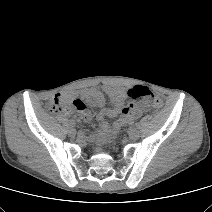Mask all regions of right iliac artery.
I'll return each mask as SVG.
<instances>
[{"instance_id": "1", "label": "right iliac artery", "mask_w": 212, "mask_h": 212, "mask_svg": "<svg viewBox=\"0 0 212 212\" xmlns=\"http://www.w3.org/2000/svg\"><path fill=\"white\" fill-rule=\"evenodd\" d=\"M69 125H70L71 127H74V126H75V122H74V121H70V122H69Z\"/></svg>"}]
</instances>
